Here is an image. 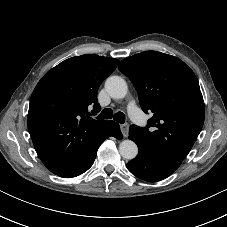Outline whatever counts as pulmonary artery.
<instances>
[{
  "instance_id": "e3ab8cb5",
  "label": "pulmonary artery",
  "mask_w": 227,
  "mask_h": 227,
  "mask_svg": "<svg viewBox=\"0 0 227 227\" xmlns=\"http://www.w3.org/2000/svg\"><path fill=\"white\" fill-rule=\"evenodd\" d=\"M128 112L133 120L140 121L138 108L133 101L128 104Z\"/></svg>"
}]
</instances>
